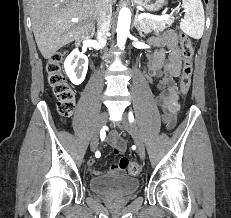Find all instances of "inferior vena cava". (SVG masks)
<instances>
[{"label": "inferior vena cava", "instance_id": "1", "mask_svg": "<svg viewBox=\"0 0 231 218\" xmlns=\"http://www.w3.org/2000/svg\"><path fill=\"white\" fill-rule=\"evenodd\" d=\"M96 20H97V39L104 46L106 44V34L110 30L112 16V0H96Z\"/></svg>", "mask_w": 231, "mask_h": 218}]
</instances>
